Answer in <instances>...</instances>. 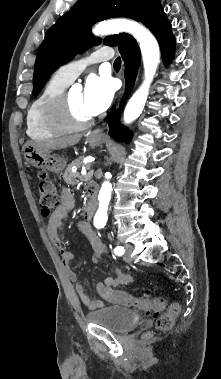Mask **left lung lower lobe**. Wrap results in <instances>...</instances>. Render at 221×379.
Here are the masks:
<instances>
[{
  "label": "left lung lower lobe",
  "instance_id": "left-lung-lower-lobe-1",
  "mask_svg": "<svg viewBox=\"0 0 221 379\" xmlns=\"http://www.w3.org/2000/svg\"><path fill=\"white\" fill-rule=\"evenodd\" d=\"M142 23L148 27L157 38L161 48L163 61L165 64H169L174 56L176 42L172 33L171 23L165 15L160 3H156L150 9ZM118 46L119 52L125 62V76L127 82L126 93L120 105V109L122 110L124 102L133 88L137 69L140 64L141 54L136 40L130 35L126 36ZM114 111L115 108H113L109 114V117L111 116V118H107L110 128L109 135L118 141L123 140L127 143L131 140V134L127 128L123 127L121 129L119 123L120 112L118 110L116 115H113Z\"/></svg>",
  "mask_w": 221,
  "mask_h": 379
}]
</instances>
